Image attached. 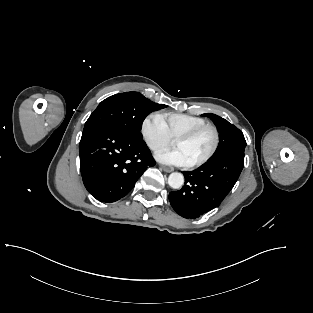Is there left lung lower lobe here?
Listing matches in <instances>:
<instances>
[{"label":"left lung lower lobe","instance_id":"0a47b994","mask_svg":"<svg viewBox=\"0 0 313 313\" xmlns=\"http://www.w3.org/2000/svg\"><path fill=\"white\" fill-rule=\"evenodd\" d=\"M243 166L244 150H233L196 170L183 172L185 185L169 193L173 209L186 219H195L218 207L235 185Z\"/></svg>","mask_w":313,"mask_h":313}]
</instances>
